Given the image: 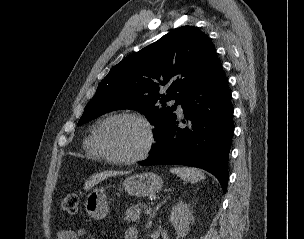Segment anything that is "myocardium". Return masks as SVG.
<instances>
[{"instance_id":"1","label":"myocardium","mask_w":304,"mask_h":239,"mask_svg":"<svg viewBox=\"0 0 304 239\" xmlns=\"http://www.w3.org/2000/svg\"><path fill=\"white\" fill-rule=\"evenodd\" d=\"M120 118L134 119V120L140 122L146 129L147 140H146L145 146L138 154H136L134 156L120 157V156L114 155L111 152H109L103 146V144L101 142L100 134H101L103 127L110 121L120 119ZM93 141H94V145H95L96 149L104 157V159H106L110 162L116 163V164L128 165V164H134L139 161H142L150 154V152L155 144L156 136H155L154 126L147 117H145L144 115H142L138 112L124 111V112H118V113L112 114V115L106 117L105 119H103L94 130Z\"/></svg>"}]
</instances>
